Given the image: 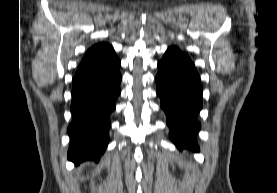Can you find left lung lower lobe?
<instances>
[{
  "mask_svg": "<svg viewBox=\"0 0 277 193\" xmlns=\"http://www.w3.org/2000/svg\"><path fill=\"white\" fill-rule=\"evenodd\" d=\"M157 94L166 113L170 137L178 148L197 149L200 123L196 117L202 108L200 76L187 54L169 48L158 63Z\"/></svg>",
  "mask_w": 277,
  "mask_h": 193,
  "instance_id": "obj_1",
  "label": "left lung lower lobe"
}]
</instances>
